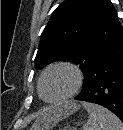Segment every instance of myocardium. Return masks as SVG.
I'll list each match as a JSON object with an SVG mask.
<instances>
[{
	"label": "myocardium",
	"instance_id": "myocardium-1",
	"mask_svg": "<svg viewBox=\"0 0 123 130\" xmlns=\"http://www.w3.org/2000/svg\"><path fill=\"white\" fill-rule=\"evenodd\" d=\"M56 68H65L68 69L69 71H71V73L74 76V85L72 87V89L65 94L64 96L57 98V99H47L44 97L43 94V81L44 78L46 76V74ZM83 80H84V76H83V72L81 71V69L74 63L70 62V61H57L54 62L50 65H48L41 73L40 78H39V82H38V91H39V95L40 97L47 103H51V104H57V103H61L64 102L72 97H74L79 90L81 89L82 85H83Z\"/></svg>",
	"mask_w": 123,
	"mask_h": 130
}]
</instances>
